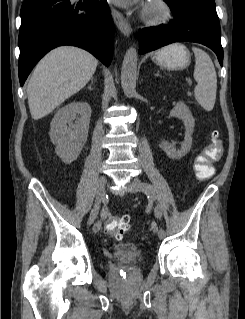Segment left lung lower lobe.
Listing matches in <instances>:
<instances>
[{
    "mask_svg": "<svg viewBox=\"0 0 245 319\" xmlns=\"http://www.w3.org/2000/svg\"><path fill=\"white\" fill-rule=\"evenodd\" d=\"M170 9L174 19L168 24L140 31L139 54L174 42H195L211 48L222 66L223 48L218 16L193 7Z\"/></svg>",
    "mask_w": 245,
    "mask_h": 319,
    "instance_id": "1",
    "label": "left lung lower lobe"
}]
</instances>
